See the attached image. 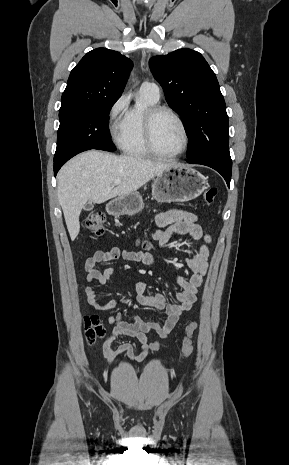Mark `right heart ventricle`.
Wrapping results in <instances>:
<instances>
[{
	"label": "right heart ventricle",
	"mask_w": 289,
	"mask_h": 465,
	"mask_svg": "<svg viewBox=\"0 0 289 465\" xmlns=\"http://www.w3.org/2000/svg\"><path fill=\"white\" fill-rule=\"evenodd\" d=\"M143 105L131 107L124 116L123 130L118 138L121 150L132 157H149L152 154L146 147L144 139V115L146 110L156 105L158 100L153 99L144 91H140Z\"/></svg>",
	"instance_id": "e07e8e85"
}]
</instances>
